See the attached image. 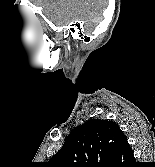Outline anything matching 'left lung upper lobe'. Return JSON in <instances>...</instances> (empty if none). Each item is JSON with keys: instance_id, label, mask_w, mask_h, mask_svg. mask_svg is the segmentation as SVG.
Returning <instances> with one entry per match:
<instances>
[{"instance_id": "left-lung-upper-lobe-1", "label": "left lung upper lobe", "mask_w": 155, "mask_h": 167, "mask_svg": "<svg viewBox=\"0 0 155 167\" xmlns=\"http://www.w3.org/2000/svg\"><path fill=\"white\" fill-rule=\"evenodd\" d=\"M126 136L113 121L91 119L75 128L50 167H110Z\"/></svg>"}]
</instances>
